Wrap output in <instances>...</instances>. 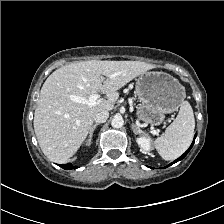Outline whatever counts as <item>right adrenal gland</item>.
I'll return each mask as SVG.
<instances>
[{"label": "right adrenal gland", "instance_id": "2a0ac1e0", "mask_svg": "<svg viewBox=\"0 0 224 224\" xmlns=\"http://www.w3.org/2000/svg\"><path fill=\"white\" fill-rule=\"evenodd\" d=\"M98 125H99V124L96 123V124H94V125L91 127V129H90V131H89V137H90V139L92 138L93 132H94V130L96 129V127H97Z\"/></svg>", "mask_w": 224, "mask_h": 224}]
</instances>
